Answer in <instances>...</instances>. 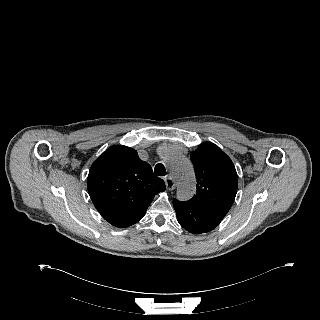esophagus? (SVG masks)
<instances>
[{"mask_svg":"<svg viewBox=\"0 0 320 320\" xmlns=\"http://www.w3.org/2000/svg\"><path fill=\"white\" fill-rule=\"evenodd\" d=\"M165 184H166V188L168 190L171 191V190L175 189V182H174V180L172 179L171 176H168V177L165 178Z\"/></svg>","mask_w":320,"mask_h":320,"instance_id":"34e87169","label":"esophagus"}]
</instances>
